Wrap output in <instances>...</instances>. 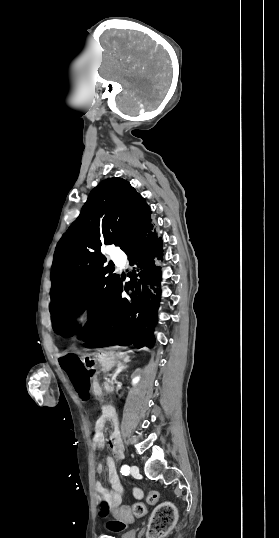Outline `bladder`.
Segmentation results:
<instances>
[{
  "mask_svg": "<svg viewBox=\"0 0 279 538\" xmlns=\"http://www.w3.org/2000/svg\"><path fill=\"white\" fill-rule=\"evenodd\" d=\"M120 538H136L135 532H125V534H121Z\"/></svg>",
  "mask_w": 279,
  "mask_h": 538,
  "instance_id": "31cf9c89",
  "label": "bladder"
}]
</instances>
